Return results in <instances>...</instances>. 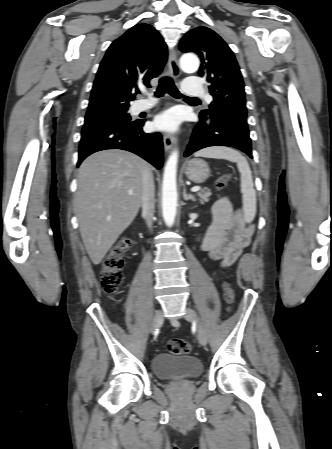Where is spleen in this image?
Listing matches in <instances>:
<instances>
[{
  "mask_svg": "<svg viewBox=\"0 0 332 449\" xmlns=\"http://www.w3.org/2000/svg\"><path fill=\"white\" fill-rule=\"evenodd\" d=\"M197 157L225 159L237 163L240 172V187L242 193V203L244 219L251 223L256 214V191L254 189L252 173L245 157L238 151L227 147H211L195 153Z\"/></svg>",
  "mask_w": 332,
  "mask_h": 449,
  "instance_id": "obj_1",
  "label": "spleen"
}]
</instances>
